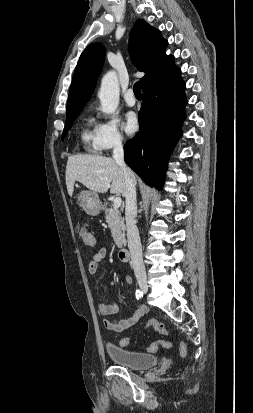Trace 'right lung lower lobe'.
<instances>
[{
	"instance_id": "obj_1",
	"label": "right lung lower lobe",
	"mask_w": 253,
	"mask_h": 413,
	"mask_svg": "<svg viewBox=\"0 0 253 413\" xmlns=\"http://www.w3.org/2000/svg\"><path fill=\"white\" fill-rule=\"evenodd\" d=\"M180 69L143 89L140 131L124 146V160L149 186L162 188L170 152L186 118Z\"/></svg>"
}]
</instances>
